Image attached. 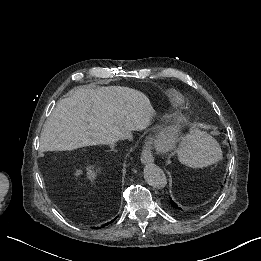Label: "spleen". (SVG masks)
<instances>
[{
	"label": "spleen",
	"instance_id": "1",
	"mask_svg": "<svg viewBox=\"0 0 261 261\" xmlns=\"http://www.w3.org/2000/svg\"><path fill=\"white\" fill-rule=\"evenodd\" d=\"M177 153L180 162L191 168L206 167L223 159L217 140L198 128L182 137Z\"/></svg>",
	"mask_w": 261,
	"mask_h": 261
}]
</instances>
